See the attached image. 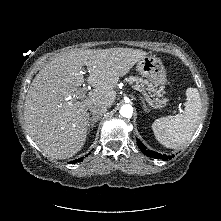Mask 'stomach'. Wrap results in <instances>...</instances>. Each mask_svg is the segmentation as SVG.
<instances>
[{"label": "stomach", "instance_id": "obj_1", "mask_svg": "<svg viewBox=\"0 0 221 221\" xmlns=\"http://www.w3.org/2000/svg\"><path fill=\"white\" fill-rule=\"evenodd\" d=\"M137 70L157 86L167 82L166 70L161 60L155 56H146L137 63Z\"/></svg>", "mask_w": 221, "mask_h": 221}]
</instances>
